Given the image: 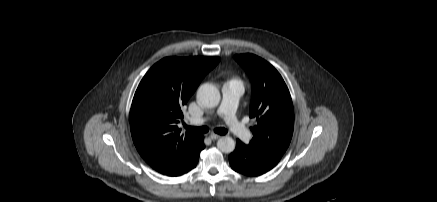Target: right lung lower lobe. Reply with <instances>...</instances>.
Listing matches in <instances>:
<instances>
[{
	"mask_svg": "<svg viewBox=\"0 0 437 202\" xmlns=\"http://www.w3.org/2000/svg\"><path fill=\"white\" fill-rule=\"evenodd\" d=\"M204 148L205 145L203 142V136H200V139L196 146L192 150H190L185 158L176 165H174L172 168L168 169L165 172H162V174L176 177L187 173L188 171L196 167L199 160V154Z\"/></svg>",
	"mask_w": 437,
	"mask_h": 202,
	"instance_id": "1",
	"label": "right lung lower lobe"
}]
</instances>
